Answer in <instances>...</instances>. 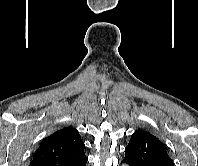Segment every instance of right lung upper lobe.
<instances>
[{"mask_svg": "<svg viewBox=\"0 0 198 166\" xmlns=\"http://www.w3.org/2000/svg\"><path fill=\"white\" fill-rule=\"evenodd\" d=\"M84 148L78 131L73 127H65L41 143L30 166H76L87 160Z\"/></svg>", "mask_w": 198, "mask_h": 166, "instance_id": "cb5924a9", "label": "right lung upper lobe"}]
</instances>
